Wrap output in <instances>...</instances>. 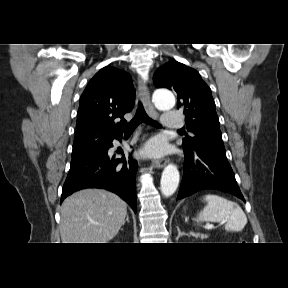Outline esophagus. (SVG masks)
I'll use <instances>...</instances> for the list:
<instances>
[{"label": "esophagus", "mask_w": 288, "mask_h": 288, "mask_svg": "<svg viewBox=\"0 0 288 288\" xmlns=\"http://www.w3.org/2000/svg\"><path fill=\"white\" fill-rule=\"evenodd\" d=\"M138 89L141 94L142 102L146 112L148 113L149 116L157 118L158 113L151 103L148 86L144 81V79L141 77L138 78ZM166 163H167L166 158H161L154 161V165L156 168H163L166 165Z\"/></svg>", "instance_id": "1"}]
</instances>
